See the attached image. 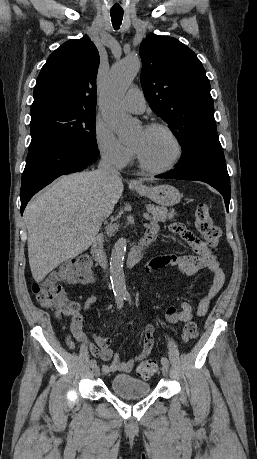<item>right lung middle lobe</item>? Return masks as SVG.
<instances>
[{"label":"right lung middle lobe","mask_w":257,"mask_h":459,"mask_svg":"<svg viewBox=\"0 0 257 459\" xmlns=\"http://www.w3.org/2000/svg\"><path fill=\"white\" fill-rule=\"evenodd\" d=\"M31 143H69L99 153L95 111L74 107H48L31 112Z\"/></svg>","instance_id":"right-lung-middle-lobe-1"}]
</instances>
